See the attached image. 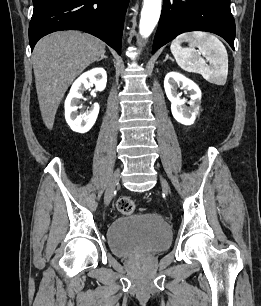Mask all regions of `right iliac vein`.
Instances as JSON below:
<instances>
[{"instance_id": "obj_1", "label": "right iliac vein", "mask_w": 261, "mask_h": 306, "mask_svg": "<svg viewBox=\"0 0 261 306\" xmlns=\"http://www.w3.org/2000/svg\"><path fill=\"white\" fill-rule=\"evenodd\" d=\"M119 177H120V170L117 169L114 172V174L112 175V177H111V179L108 183V186L106 188V192H105V196H104V202H105L106 205H108L109 202L112 199L114 189H115V187H116V185L118 184V181H119Z\"/></svg>"}]
</instances>
